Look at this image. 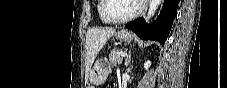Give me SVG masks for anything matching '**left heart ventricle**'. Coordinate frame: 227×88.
Listing matches in <instances>:
<instances>
[{"label":"left heart ventricle","mask_w":227,"mask_h":88,"mask_svg":"<svg viewBox=\"0 0 227 88\" xmlns=\"http://www.w3.org/2000/svg\"><path fill=\"white\" fill-rule=\"evenodd\" d=\"M138 1L136 0H108L106 14L112 19H121L132 14Z\"/></svg>","instance_id":"left-heart-ventricle-1"}]
</instances>
